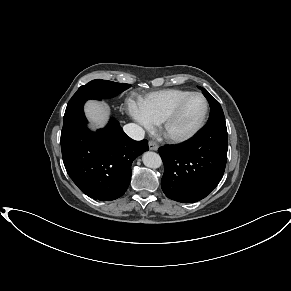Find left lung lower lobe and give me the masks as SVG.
<instances>
[{
	"label": "left lung lower lobe",
	"instance_id": "1",
	"mask_svg": "<svg viewBox=\"0 0 291 291\" xmlns=\"http://www.w3.org/2000/svg\"><path fill=\"white\" fill-rule=\"evenodd\" d=\"M164 163L161 187L182 203L205 198L223 177L227 160L226 123L206 124L191 140L159 148Z\"/></svg>",
	"mask_w": 291,
	"mask_h": 291
}]
</instances>
